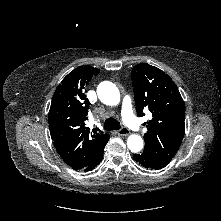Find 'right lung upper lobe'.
<instances>
[{
	"label": "right lung upper lobe",
	"instance_id": "right-lung-upper-lobe-1",
	"mask_svg": "<svg viewBox=\"0 0 221 221\" xmlns=\"http://www.w3.org/2000/svg\"><path fill=\"white\" fill-rule=\"evenodd\" d=\"M99 70L80 66L57 86L48 115L54 146L63 161L74 170H83L98 156L110 136L99 129L86 127L89 100L84 87Z\"/></svg>",
	"mask_w": 221,
	"mask_h": 221
}]
</instances>
